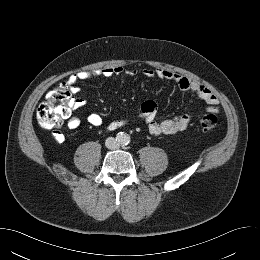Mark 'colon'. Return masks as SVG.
<instances>
[{
    "label": "colon",
    "mask_w": 260,
    "mask_h": 260,
    "mask_svg": "<svg viewBox=\"0 0 260 260\" xmlns=\"http://www.w3.org/2000/svg\"><path fill=\"white\" fill-rule=\"evenodd\" d=\"M74 100L71 86L62 82L52 88L46 95L36 111L38 124L44 129L59 127L69 112L70 105ZM198 125L204 131L215 129L218 119L214 112L199 115Z\"/></svg>",
    "instance_id": "obj_1"
}]
</instances>
